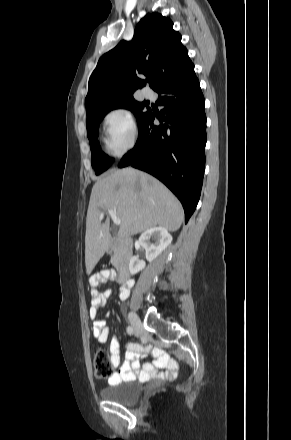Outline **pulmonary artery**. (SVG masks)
Instances as JSON below:
<instances>
[{
    "label": "pulmonary artery",
    "mask_w": 291,
    "mask_h": 440,
    "mask_svg": "<svg viewBox=\"0 0 291 440\" xmlns=\"http://www.w3.org/2000/svg\"><path fill=\"white\" fill-rule=\"evenodd\" d=\"M142 94L144 95V97H146L148 99L152 98V92L149 88H144L142 90Z\"/></svg>",
    "instance_id": "pulmonary-artery-1"
}]
</instances>
